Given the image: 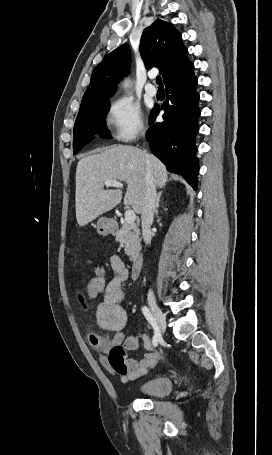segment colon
<instances>
[{"mask_svg":"<svg viewBox=\"0 0 272 455\" xmlns=\"http://www.w3.org/2000/svg\"><path fill=\"white\" fill-rule=\"evenodd\" d=\"M92 271V278L87 285L79 291L86 298H93L103 293L109 278L108 273L102 266H95ZM91 340L94 345H102V342L96 336H92ZM125 355L126 350L123 345L115 343L110 347L109 363L114 370L118 372L126 370L127 362Z\"/></svg>","mask_w":272,"mask_h":455,"instance_id":"obj_1","label":"colon"}]
</instances>
